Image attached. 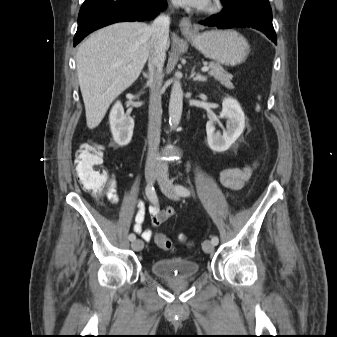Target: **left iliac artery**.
<instances>
[{"label":"left iliac artery","instance_id":"44dca946","mask_svg":"<svg viewBox=\"0 0 337 337\" xmlns=\"http://www.w3.org/2000/svg\"><path fill=\"white\" fill-rule=\"evenodd\" d=\"M175 190L176 192L181 195V196H184V197H187V196H190V191L188 188H186L185 186L183 185H176L175 186ZM211 242L214 244V245H217L219 243V239L217 236H213L212 239H211Z\"/></svg>","mask_w":337,"mask_h":337}]
</instances>
